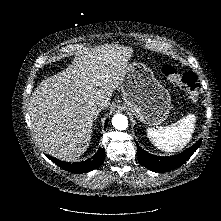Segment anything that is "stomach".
<instances>
[{
	"instance_id": "obj_1",
	"label": "stomach",
	"mask_w": 221,
	"mask_h": 221,
	"mask_svg": "<svg viewBox=\"0 0 221 221\" xmlns=\"http://www.w3.org/2000/svg\"><path fill=\"white\" fill-rule=\"evenodd\" d=\"M124 103L142 123H162L170 111L171 96L143 63L132 62L120 83Z\"/></svg>"
}]
</instances>
